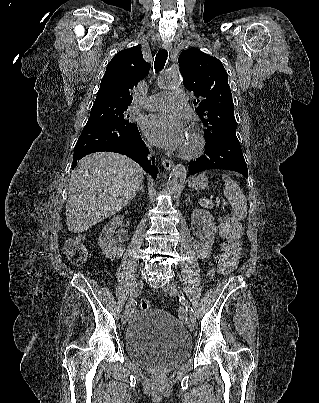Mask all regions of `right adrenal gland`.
Wrapping results in <instances>:
<instances>
[{
  "instance_id": "1",
  "label": "right adrenal gland",
  "mask_w": 319,
  "mask_h": 403,
  "mask_svg": "<svg viewBox=\"0 0 319 403\" xmlns=\"http://www.w3.org/2000/svg\"><path fill=\"white\" fill-rule=\"evenodd\" d=\"M137 192H144V184L143 182L141 183L139 189L137 190Z\"/></svg>"
}]
</instances>
